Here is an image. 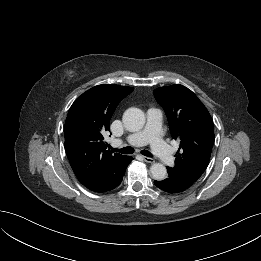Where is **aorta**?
Segmentation results:
<instances>
[{"label": "aorta", "instance_id": "1", "mask_svg": "<svg viewBox=\"0 0 261 261\" xmlns=\"http://www.w3.org/2000/svg\"><path fill=\"white\" fill-rule=\"evenodd\" d=\"M145 115L141 109L131 107L123 114V123L130 131H138L145 125ZM150 172L153 179L164 180L167 174L166 167L161 163H154L150 167Z\"/></svg>", "mask_w": 261, "mask_h": 261}]
</instances>
